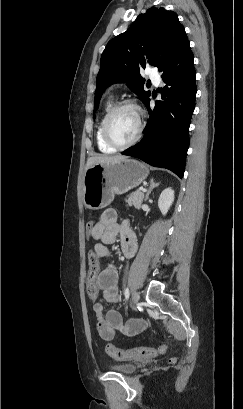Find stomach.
Returning a JSON list of instances; mask_svg holds the SVG:
<instances>
[{"label": "stomach", "mask_w": 243, "mask_h": 409, "mask_svg": "<svg viewBox=\"0 0 243 409\" xmlns=\"http://www.w3.org/2000/svg\"><path fill=\"white\" fill-rule=\"evenodd\" d=\"M148 167L134 159L124 158L109 164H95L83 177L82 200L89 209H102L121 195L139 186L148 176Z\"/></svg>", "instance_id": "obj_1"}]
</instances>
